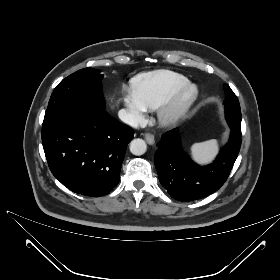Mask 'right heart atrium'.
Returning <instances> with one entry per match:
<instances>
[{"mask_svg": "<svg viewBox=\"0 0 280 280\" xmlns=\"http://www.w3.org/2000/svg\"><path fill=\"white\" fill-rule=\"evenodd\" d=\"M123 103L134 124H140L144 121L146 109L141 105L132 90L124 89Z\"/></svg>", "mask_w": 280, "mask_h": 280, "instance_id": "1", "label": "right heart atrium"}]
</instances>
